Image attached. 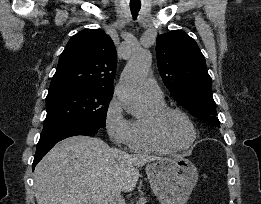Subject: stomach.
Here are the masks:
<instances>
[{"mask_svg":"<svg viewBox=\"0 0 261 204\" xmlns=\"http://www.w3.org/2000/svg\"><path fill=\"white\" fill-rule=\"evenodd\" d=\"M146 173L161 204H186L198 181L197 168L183 156L148 164Z\"/></svg>","mask_w":261,"mask_h":204,"instance_id":"stomach-1","label":"stomach"}]
</instances>
